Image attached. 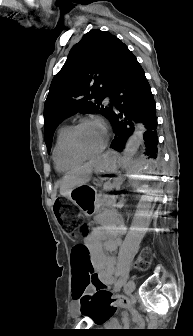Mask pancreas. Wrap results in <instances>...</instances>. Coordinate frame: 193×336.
I'll return each mask as SVG.
<instances>
[{
	"mask_svg": "<svg viewBox=\"0 0 193 336\" xmlns=\"http://www.w3.org/2000/svg\"><path fill=\"white\" fill-rule=\"evenodd\" d=\"M115 185L107 183L102 189L101 194L102 198L99 199V210L100 211H114L116 209V199L113 197V194L110 192Z\"/></svg>",
	"mask_w": 193,
	"mask_h": 336,
	"instance_id": "pancreas-1",
	"label": "pancreas"
}]
</instances>
